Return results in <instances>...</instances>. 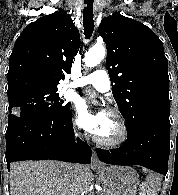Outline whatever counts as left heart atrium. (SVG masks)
Here are the masks:
<instances>
[{"label": "left heart atrium", "mask_w": 178, "mask_h": 195, "mask_svg": "<svg viewBox=\"0 0 178 195\" xmlns=\"http://www.w3.org/2000/svg\"><path fill=\"white\" fill-rule=\"evenodd\" d=\"M76 107L81 125L96 135L103 124L106 112L103 110L91 111L84 99H79Z\"/></svg>", "instance_id": "left-heart-atrium-1"}]
</instances>
